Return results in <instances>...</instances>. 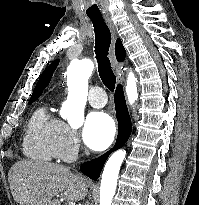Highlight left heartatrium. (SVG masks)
Masks as SVG:
<instances>
[{
	"label": "left heart atrium",
	"mask_w": 199,
	"mask_h": 205,
	"mask_svg": "<svg viewBox=\"0 0 199 205\" xmlns=\"http://www.w3.org/2000/svg\"><path fill=\"white\" fill-rule=\"evenodd\" d=\"M116 132L114 120L105 112H91L85 119L82 135L85 144L93 150H103L113 141Z\"/></svg>",
	"instance_id": "obj_1"
}]
</instances>
